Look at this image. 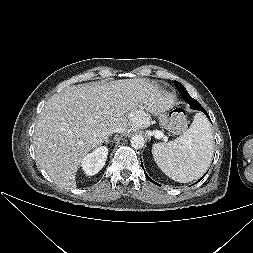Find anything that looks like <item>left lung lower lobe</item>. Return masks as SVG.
Masks as SVG:
<instances>
[{"mask_svg": "<svg viewBox=\"0 0 253 253\" xmlns=\"http://www.w3.org/2000/svg\"><path fill=\"white\" fill-rule=\"evenodd\" d=\"M190 106H191L192 109L202 111L209 118V116H208L207 112L205 111V109L196 100H194L193 102H191ZM141 165H142V163H141ZM142 168H143V165H142ZM143 170H144V168H143ZM144 173H145V176L147 177L148 180H150L151 182H153V183L156 184V182H154L152 179H150V177L146 174L145 170H144Z\"/></svg>", "mask_w": 253, "mask_h": 253, "instance_id": "0a47b994", "label": "left lung lower lobe"}]
</instances>
